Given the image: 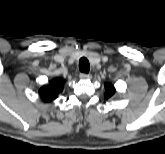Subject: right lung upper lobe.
I'll return each instance as SVG.
<instances>
[{"label":"right lung upper lobe","mask_w":165,"mask_h":154,"mask_svg":"<svg viewBox=\"0 0 165 154\" xmlns=\"http://www.w3.org/2000/svg\"><path fill=\"white\" fill-rule=\"evenodd\" d=\"M63 86L64 80L62 78H56L48 85L41 87L39 94L43 101L50 102L58 97V94L63 90Z\"/></svg>","instance_id":"obj_1"}]
</instances>
